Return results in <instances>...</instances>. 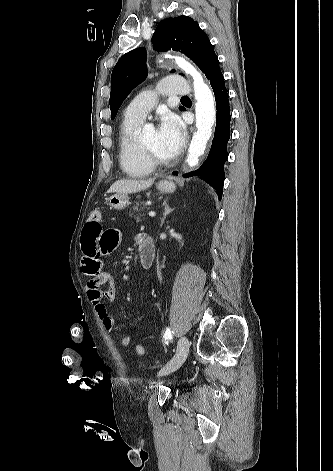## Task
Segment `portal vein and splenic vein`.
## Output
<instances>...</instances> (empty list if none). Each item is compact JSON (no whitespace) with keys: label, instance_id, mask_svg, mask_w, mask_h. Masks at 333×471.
Segmentation results:
<instances>
[{"label":"portal vein and splenic vein","instance_id":"18ae733b","mask_svg":"<svg viewBox=\"0 0 333 471\" xmlns=\"http://www.w3.org/2000/svg\"><path fill=\"white\" fill-rule=\"evenodd\" d=\"M149 216H150V217H155V212H154V211H150V212H149Z\"/></svg>","mask_w":333,"mask_h":471}]
</instances>
